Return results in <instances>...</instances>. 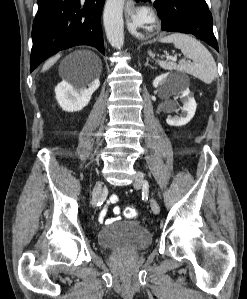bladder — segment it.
I'll return each mask as SVG.
<instances>
[{
  "mask_svg": "<svg viewBox=\"0 0 247 299\" xmlns=\"http://www.w3.org/2000/svg\"><path fill=\"white\" fill-rule=\"evenodd\" d=\"M102 248L109 250H143L152 242L151 233L135 221H117L101 229L97 235Z\"/></svg>",
  "mask_w": 247,
  "mask_h": 299,
  "instance_id": "1",
  "label": "bladder"
}]
</instances>
